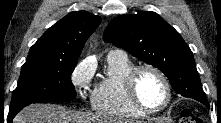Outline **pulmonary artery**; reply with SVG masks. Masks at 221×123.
<instances>
[{
    "instance_id": "obj_1",
    "label": "pulmonary artery",
    "mask_w": 221,
    "mask_h": 123,
    "mask_svg": "<svg viewBox=\"0 0 221 123\" xmlns=\"http://www.w3.org/2000/svg\"><path fill=\"white\" fill-rule=\"evenodd\" d=\"M108 58L126 57V54L121 50H110L107 55Z\"/></svg>"
}]
</instances>
